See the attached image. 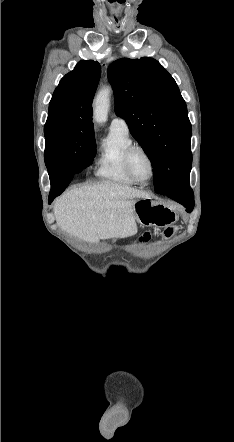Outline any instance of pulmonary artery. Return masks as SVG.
<instances>
[{
  "label": "pulmonary artery",
  "mask_w": 234,
  "mask_h": 442,
  "mask_svg": "<svg viewBox=\"0 0 234 442\" xmlns=\"http://www.w3.org/2000/svg\"><path fill=\"white\" fill-rule=\"evenodd\" d=\"M111 128H119L123 130H128V125L123 118L115 117L111 122Z\"/></svg>",
  "instance_id": "e3ab8cb5"
}]
</instances>
